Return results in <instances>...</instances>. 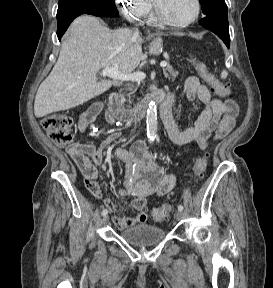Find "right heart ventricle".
<instances>
[{"mask_svg": "<svg viewBox=\"0 0 273 288\" xmlns=\"http://www.w3.org/2000/svg\"><path fill=\"white\" fill-rule=\"evenodd\" d=\"M147 21H148V23H155V18L152 15H150L148 17Z\"/></svg>", "mask_w": 273, "mask_h": 288, "instance_id": "e07e8e85", "label": "right heart ventricle"}]
</instances>
